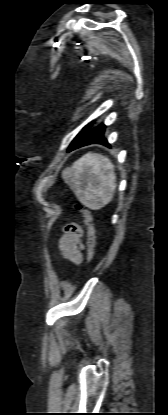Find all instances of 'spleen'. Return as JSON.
I'll list each match as a JSON object with an SVG mask.
<instances>
[{
    "label": "spleen",
    "instance_id": "1",
    "mask_svg": "<svg viewBox=\"0 0 168 415\" xmlns=\"http://www.w3.org/2000/svg\"><path fill=\"white\" fill-rule=\"evenodd\" d=\"M62 178L78 200L92 209L107 205L116 189L114 165L98 153L82 156L63 170Z\"/></svg>",
    "mask_w": 168,
    "mask_h": 415
}]
</instances>
